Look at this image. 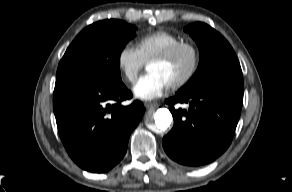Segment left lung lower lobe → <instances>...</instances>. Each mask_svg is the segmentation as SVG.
Returning <instances> with one entry per match:
<instances>
[{
  "label": "left lung lower lobe",
  "instance_id": "0a47b994",
  "mask_svg": "<svg viewBox=\"0 0 292 192\" xmlns=\"http://www.w3.org/2000/svg\"><path fill=\"white\" fill-rule=\"evenodd\" d=\"M174 118L172 130L163 138L167 155L179 164L200 166L222 155L229 147L243 103L242 86H214L166 100ZM188 103L189 110L175 109Z\"/></svg>",
  "mask_w": 292,
  "mask_h": 192
}]
</instances>
